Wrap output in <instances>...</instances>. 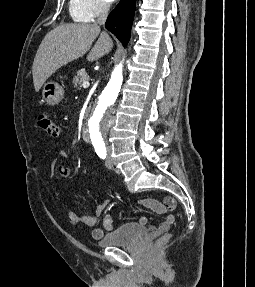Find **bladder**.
<instances>
[{"label": "bladder", "mask_w": 255, "mask_h": 287, "mask_svg": "<svg viewBox=\"0 0 255 287\" xmlns=\"http://www.w3.org/2000/svg\"><path fill=\"white\" fill-rule=\"evenodd\" d=\"M148 229L134 222L123 223L107 232L98 244L103 247L129 245L143 237Z\"/></svg>", "instance_id": "obj_1"}]
</instances>
